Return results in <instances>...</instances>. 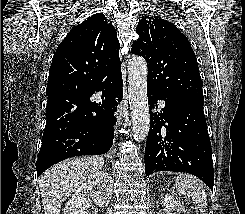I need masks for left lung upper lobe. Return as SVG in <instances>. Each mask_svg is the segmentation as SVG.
I'll return each mask as SVG.
<instances>
[{
    "label": "left lung upper lobe",
    "mask_w": 245,
    "mask_h": 214,
    "mask_svg": "<svg viewBox=\"0 0 245 214\" xmlns=\"http://www.w3.org/2000/svg\"><path fill=\"white\" fill-rule=\"evenodd\" d=\"M139 39L131 52L144 57L148 66L147 87L171 97L204 99L195 53L177 27L158 17L139 21Z\"/></svg>",
    "instance_id": "1"
}]
</instances>
